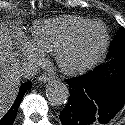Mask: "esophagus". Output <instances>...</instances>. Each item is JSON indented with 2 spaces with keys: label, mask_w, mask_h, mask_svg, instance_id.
<instances>
[{
  "label": "esophagus",
  "mask_w": 125,
  "mask_h": 125,
  "mask_svg": "<svg viewBox=\"0 0 125 125\" xmlns=\"http://www.w3.org/2000/svg\"><path fill=\"white\" fill-rule=\"evenodd\" d=\"M38 80L41 81V82L46 83V82H48V81L50 80V77H48V76H46V75H42V76H40V77L38 78Z\"/></svg>",
  "instance_id": "34e87169"
}]
</instances>
